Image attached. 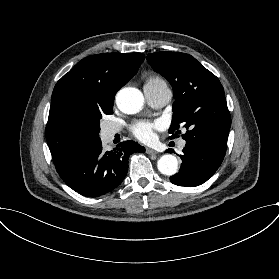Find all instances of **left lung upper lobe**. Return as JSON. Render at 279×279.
I'll return each instance as SVG.
<instances>
[{"instance_id": "1", "label": "left lung upper lobe", "mask_w": 279, "mask_h": 279, "mask_svg": "<svg viewBox=\"0 0 279 279\" xmlns=\"http://www.w3.org/2000/svg\"><path fill=\"white\" fill-rule=\"evenodd\" d=\"M147 60L173 88L172 137L183 126L186 141L208 139L226 145L231 116L219 79L186 53L156 52L148 54Z\"/></svg>"}]
</instances>
